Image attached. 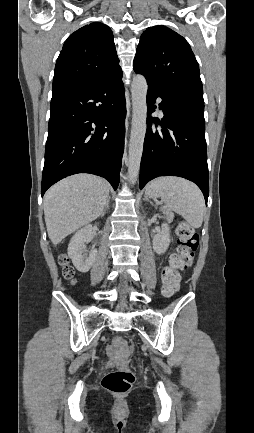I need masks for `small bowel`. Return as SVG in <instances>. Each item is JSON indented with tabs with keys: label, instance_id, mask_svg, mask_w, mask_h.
<instances>
[{
	"label": "small bowel",
	"instance_id": "1",
	"mask_svg": "<svg viewBox=\"0 0 254 433\" xmlns=\"http://www.w3.org/2000/svg\"><path fill=\"white\" fill-rule=\"evenodd\" d=\"M192 263V260L189 261V265ZM165 290V286H163V292Z\"/></svg>",
	"mask_w": 254,
	"mask_h": 433
}]
</instances>
